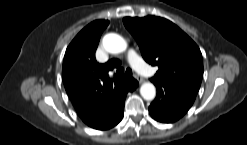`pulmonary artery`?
Listing matches in <instances>:
<instances>
[{
    "label": "pulmonary artery",
    "instance_id": "pulmonary-artery-1",
    "mask_svg": "<svg viewBox=\"0 0 247 145\" xmlns=\"http://www.w3.org/2000/svg\"><path fill=\"white\" fill-rule=\"evenodd\" d=\"M127 59L128 62L142 74H151V70L149 69V67L143 62V60L138 56V54L134 50H129L127 52Z\"/></svg>",
    "mask_w": 247,
    "mask_h": 145
}]
</instances>
